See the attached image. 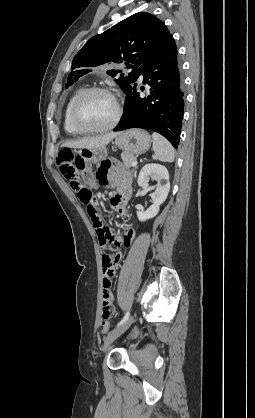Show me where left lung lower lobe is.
Returning a JSON list of instances; mask_svg holds the SVG:
<instances>
[{
	"instance_id": "0a47b994",
	"label": "left lung lower lobe",
	"mask_w": 255,
	"mask_h": 418,
	"mask_svg": "<svg viewBox=\"0 0 255 418\" xmlns=\"http://www.w3.org/2000/svg\"><path fill=\"white\" fill-rule=\"evenodd\" d=\"M150 87L148 96L141 98L134 83L140 75ZM183 73L175 41L150 56L135 73L126 91L123 116L114 131L144 128L160 133L177 148L184 114Z\"/></svg>"
}]
</instances>
